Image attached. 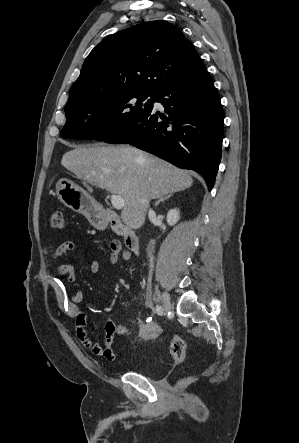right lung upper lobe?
<instances>
[{"instance_id": "right-lung-upper-lobe-1", "label": "right lung upper lobe", "mask_w": 299, "mask_h": 443, "mask_svg": "<svg viewBox=\"0 0 299 443\" xmlns=\"http://www.w3.org/2000/svg\"><path fill=\"white\" fill-rule=\"evenodd\" d=\"M204 68L179 28L161 20L141 23L108 36L90 52L67 104L116 92L155 94Z\"/></svg>"}]
</instances>
